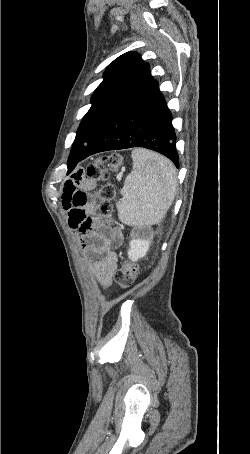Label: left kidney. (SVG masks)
I'll use <instances>...</instances> for the list:
<instances>
[{"label": "left kidney", "instance_id": "left-kidney-1", "mask_svg": "<svg viewBox=\"0 0 250 454\" xmlns=\"http://www.w3.org/2000/svg\"><path fill=\"white\" fill-rule=\"evenodd\" d=\"M151 241L140 236H134L129 243L128 257L131 261L136 262L138 259L146 256Z\"/></svg>", "mask_w": 250, "mask_h": 454}]
</instances>
